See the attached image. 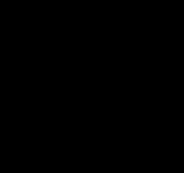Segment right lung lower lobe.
<instances>
[{"instance_id":"right-lung-lower-lobe-1","label":"right lung lower lobe","mask_w":184,"mask_h":173,"mask_svg":"<svg viewBox=\"0 0 184 173\" xmlns=\"http://www.w3.org/2000/svg\"><path fill=\"white\" fill-rule=\"evenodd\" d=\"M82 119L67 116L58 121L17 131L24 151L33 159L46 164H61L73 152Z\"/></svg>"}]
</instances>
